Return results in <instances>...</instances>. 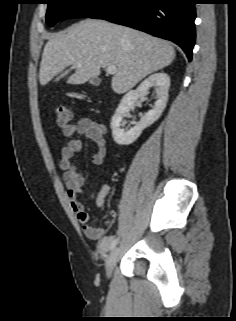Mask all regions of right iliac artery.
Returning <instances> with one entry per match:
<instances>
[{
  "label": "right iliac artery",
  "instance_id": "82829eb1",
  "mask_svg": "<svg viewBox=\"0 0 236 321\" xmlns=\"http://www.w3.org/2000/svg\"><path fill=\"white\" fill-rule=\"evenodd\" d=\"M117 242H118L117 239L112 240V242H111V244H110V246H109L110 250H112L113 248H115Z\"/></svg>",
  "mask_w": 236,
  "mask_h": 321
}]
</instances>
